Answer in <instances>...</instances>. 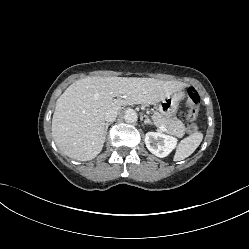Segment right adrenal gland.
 Segmentation results:
<instances>
[{
    "instance_id": "right-adrenal-gland-1",
    "label": "right adrenal gland",
    "mask_w": 249,
    "mask_h": 249,
    "mask_svg": "<svg viewBox=\"0 0 249 249\" xmlns=\"http://www.w3.org/2000/svg\"><path fill=\"white\" fill-rule=\"evenodd\" d=\"M111 124H112V122H109V123H106V124H105V132H104V135L107 134L108 127H109V125H111Z\"/></svg>"
}]
</instances>
